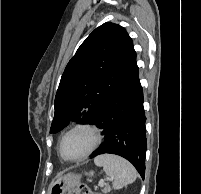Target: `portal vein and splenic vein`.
Returning <instances> with one entry per match:
<instances>
[{"instance_id":"portal-vein-and-splenic-vein-1","label":"portal vein and splenic vein","mask_w":201,"mask_h":194,"mask_svg":"<svg viewBox=\"0 0 201 194\" xmlns=\"http://www.w3.org/2000/svg\"><path fill=\"white\" fill-rule=\"evenodd\" d=\"M109 180H110V179H109ZM104 184H105V182H104L103 180L99 181V186H100V187H103Z\"/></svg>"}]
</instances>
